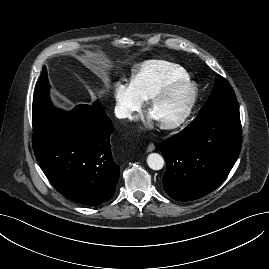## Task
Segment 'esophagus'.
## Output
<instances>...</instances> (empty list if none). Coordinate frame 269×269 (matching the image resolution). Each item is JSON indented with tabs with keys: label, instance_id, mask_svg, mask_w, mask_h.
I'll use <instances>...</instances> for the list:
<instances>
[{
	"label": "esophagus",
	"instance_id": "1",
	"mask_svg": "<svg viewBox=\"0 0 269 269\" xmlns=\"http://www.w3.org/2000/svg\"><path fill=\"white\" fill-rule=\"evenodd\" d=\"M154 150H155V145L152 144V143H150V144L148 145V147H147V152H152V151H154Z\"/></svg>",
	"mask_w": 269,
	"mask_h": 269
}]
</instances>
